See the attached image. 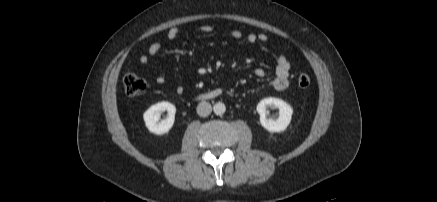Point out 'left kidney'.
<instances>
[{
	"instance_id": "1",
	"label": "left kidney",
	"mask_w": 437,
	"mask_h": 202,
	"mask_svg": "<svg viewBox=\"0 0 437 202\" xmlns=\"http://www.w3.org/2000/svg\"><path fill=\"white\" fill-rule=\"evenodd\" d=\"M278 108L279 116L277 118H268L267 108ZM257 112L260 115V123L269 132H282L290 124L293 109L292 107L279 98L269 97L262 99L257 105Z\"/></svg>"
}]
</instances>
